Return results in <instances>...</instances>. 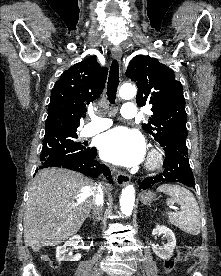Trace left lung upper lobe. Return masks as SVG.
Masks as SVG:
<instances>
[{
	"label": "left lung upper lobe",
	"instance_id": "left-lung-upper-lobe-1",
	"mask_svg": "<svg viewBox=\"0 0 221 276\" xmlns=\"http://www.w3.org/2000/svg\"><path fill=\"white\" fill-rule=\"evenodd\" d=\"M126 76L136 82L138 106L152 105L153 115L142 128L154 136L165 153L187 154L185 99L173 70L156 58L137 55L130 61Z\"/></svg>",
	"mask_w": 221,
	"mask_h": 276
}]
</instances>
